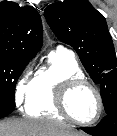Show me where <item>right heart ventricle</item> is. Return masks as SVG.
I'll list each match as a JSON object with an SVG mask.
<instances>
[{
	"label": "right heart ventricle",
	"instance_id": "1",
	"mask_svg": "<svg viewBox=\"0 0 117 136\" xmlns=\"http://www.w3.org/2000/svg\"><path fill=\"white\" fill-rule=\"evenodd\" d=\"M73 77H84L74 55L62 50L51 52L48 63L34 77L32 93L24 106L25 114L35 118H63L55 106V95L59 85Z\"/></svg>",
	"mask_w": 117,
	"mask_h": 136
}]
</instances>
